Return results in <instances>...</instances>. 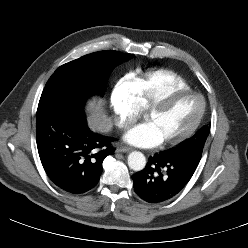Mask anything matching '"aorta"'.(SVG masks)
<instances>
[{
	"label": "aorta",
	"mask_w": 248,
	"mask_h": 248,
	"mask_svg": "<svg viewBox=\"0 0 248 248\" xmlns=\"http://www.w3.org/2000/svg\"><path fill=\"white\" fill-rule=\"evenodd\" d=\"M146 165L144 154L139 151H133L128 155V166L134 171H141Z\"/></svg>",
	"instance_id": "obj_1"
}]
</instances>
